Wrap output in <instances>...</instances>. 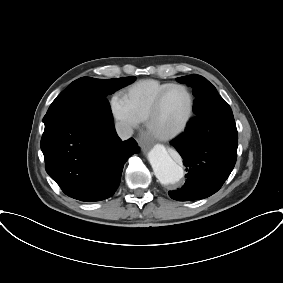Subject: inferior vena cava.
<instances>
[{
  "label": "inferior vena cava",
  "mask_w": 283,
  "mask_h": 283,
  "mask_svg": "<svg viewBox=\"0 0 283 283\" xmlns=\"http://www.w3.org/2000/svg\"><path fill=\"white\" fill-rule=\"evenodd\" d=\"M116 132L122 140H127L133 135V129L130 125L124 122L115 124Z\"/></svg>",
  "instance_id": "obj_1"
}]
</instances>
